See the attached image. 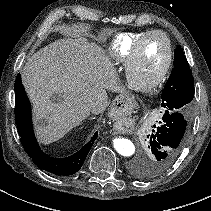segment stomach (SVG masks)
<instances>
[{
  "mask_svg": "<svg viewBox=\"0 0 211 211\" xmlns=\"http://www.w3.org/2000/svg\"><path fill=\"white\" fill-rule=\"evenodd\" d=\"M134 98L128 94L119 95L111 106V115L115 119H120L130 115L135 108Z\"/></svg>",
  "mask_w": 211,
  "mask_h": 211,
  "instance_id": "0dacf381",
  "label": "stomach"
}]
</instances>
